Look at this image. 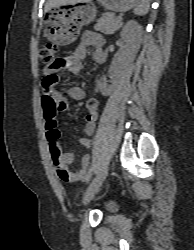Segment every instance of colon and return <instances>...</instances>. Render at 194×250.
Listing matches in <instances>:
<instances>
[{
  "mask_svg": "<svg viewBox=\"0 0 194 250\" xmlns=\"http://www.w3.org/2000/svg\"><path fill=\"white\" fill-rule=\"evenodd\" d=\"M57 54V46L53 43H46L44 44L40 51V59L43 63L47 64L48 66H51L55 69L59 68L60 66V60L56 57ZM58 81V77L56 74L50 75L45 79V82L48 85H55ZM42 106H43V112L44 114L53 115L57 109L58 105L52 95L49 93H46L42 98ZM57 167V173L63 180H69L70 179V171L63 165H61L58 161L55 163Z\"/></svg>",
  "mask_w": 194,
  "mask_h": 250,
  "instance_id": "colon-1",
  "label": "colon"
}]
</instances>
